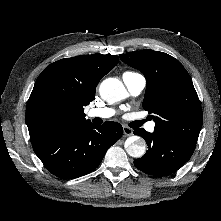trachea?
I'll list each match as a JSON object with an SVG mask.
<instances>
[{"instance_id": "3493384b", "label": "trachea", "mask_w": 221, "mask_h": 221, "mask_svg": "<svg viewBox=\"0 0 221 221\" xmlns=\"http://www.w3.org/2000/svg\"><path fill=\"white\" fill-rule=\"evenodd\" d=\"M144 122H145V120L135 121L132 123V128H138V127L142 126Z\"/></svg>"}]
</instances>
